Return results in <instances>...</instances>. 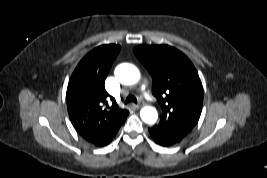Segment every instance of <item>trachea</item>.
I'll list each match as a JSON object with an SVG mask.
<instances>
[{
    "instance_id": "trachea-1",
    "label": "trachea",
    "mask_w": 267,
    "mask_h": 178,
    "mask_svg": "<svg viewBox=\"0 0 267 178\" xmlns=\"http://www.w3.org/2000/svg\"><path fill=\"white\" fill-rule=\"evenodd\" d=\"M129 102L137 103V99H136V97L133 96V95H129V96H127V98H126V100H125V103L127 104V103H129Z\"/></svg>"
}]
</instances>
